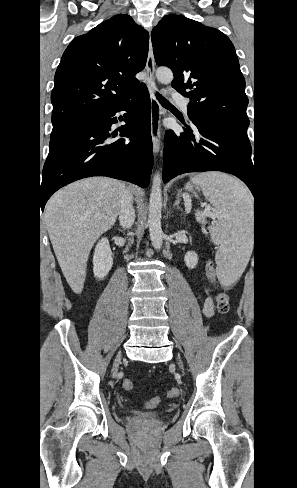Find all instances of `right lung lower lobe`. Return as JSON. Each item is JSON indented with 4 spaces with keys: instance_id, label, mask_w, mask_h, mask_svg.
I'll use <instances>...</instances> for the list:
<instances>
[{
    "instance_id": "1",
    "label": "right lung lower lobe",
    "mask_w": 297,
    "mask_h": 488,
    "mask_svg": "<svg viewBox=\"0 0 297 488\" xmlns=\"http://www.w3.org/2000/svg\"><path fill=\"white\" fill-rule=\"evenodd\" d=\"M125 125L111 132L115 114ZM151 102L144 84L115 108L51 137L40 190V206L61 187L91 176H108L146 187L153 165ZM128 137V139L117 136Z\"/></svg>"
}]
</instances>
